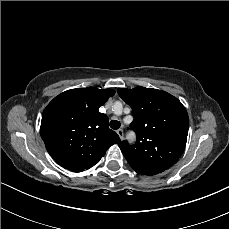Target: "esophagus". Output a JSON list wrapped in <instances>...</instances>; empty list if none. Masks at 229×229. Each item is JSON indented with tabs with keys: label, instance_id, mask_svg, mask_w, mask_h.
Masks as SVG:
<instances>
[{
	"label": "esophagus",
	"instance_id": "obj_1",
	"mask_svg": "<svg viewBox=\"0 0 229 229\" xmlns=\"http://www.w3.org/2000/svg\"><path fill=\"white\" fill-rule=\"evenodd\" d=\"M117 134L119 135L120 139L122 140L123 139V130L122 129H118L117 131Z\"/></svg>",
	"mask_w": 229,
	"mask_h": 229
}]
</instances>
